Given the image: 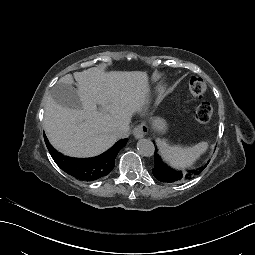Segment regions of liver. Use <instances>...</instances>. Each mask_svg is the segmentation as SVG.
Here are the masks:
<instances>
[{
    "label": "liver",
    "instance_id": "1",
    "mask_svg": "<svg viewBox=\"0 0 255 255\" xmlns=\"http://www.w3.org/2000/svg\"><path fill=\"white\" fill-rule=\"evenodd\" d=\"M73 76L83 109L62 107L48 96L44 130L51 145L66 156H98L116 142L118 127L129 123L132 114L148 102V77L145 72L107 73L98 67ZM59 82L72 84L74 80L68 74ZM97 104L101 111H97Z\"/></svg>",
    "mask_w": 255,
    "mask_h": 255
}]
</instances>
